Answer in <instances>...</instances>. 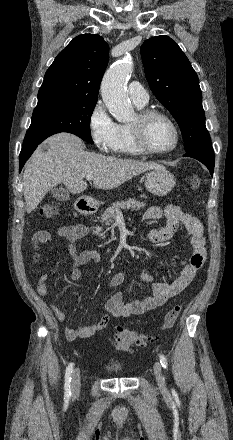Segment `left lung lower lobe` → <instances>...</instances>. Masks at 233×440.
<instances>
[{"label":"left lung lower lobe","mask_w":233,"mask_h":440,"mask_svg":"<svg viewBox=\"0 0 233 440\" xmlns=\"http://www.w3.org/2000/svg\"><path fill=\"white\" fill-rule=\"evenodd\" d=\"M184 156L199 160L209 169L211 175H213L215 156L211 146L200 148L191 152H186Z\"/></svg>","instance_id":"left-lung-lower-lobe-1"}]
</instances>
